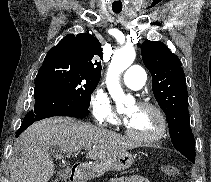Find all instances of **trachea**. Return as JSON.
Wrapping results in <instances>:
<instances>
[{
    "mask_svg": "<svg viewBox=\"0 0 211 182\" xmlns=\"http://www.w3.org/2000/svg\"><path fill=\"white\" fill-rule=\"evenodd\" d=\"M115 13H120V11H114Z\"/></svg>",
    "mask_w": 211,
    "mask_h": 182,
    "instance_id": "obj_1",
    "label": "trachea"
}]
</instances>
